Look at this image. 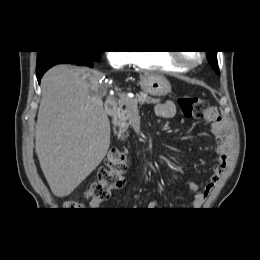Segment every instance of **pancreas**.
Instances as JSON below:
<instances>
[{
    "label": "pancreas",
    "instance_id": "pancreas-1",
    "mask_svg": "<svg viewBox=\"0 0 260 260\" xmlns=\"http://www.w3.org/2000/svg\"><path fill=\"white\" fill-rule=\"evenodd\" d=\"M160 99H155L148 96L146 93L136 94L135 98L125 97L118 100V112L116 115L115 124L119 128L118 136L123 138L124 133L127 131L131 117L138 104H156L159 103Z\"/></svg>",
    "mask_w": 260,
    "mask_h": 260
}]
</instances>
